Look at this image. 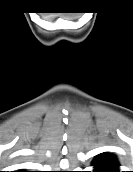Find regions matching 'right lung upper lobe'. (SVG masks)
<instances>
[{
  "mask_svg": "<svg viewBox=\"0 0 133 172\" xmlns=\"http://www.w3.org/2000/svg\"><path fill=\"white\" fill-rule=\"evenodd\" d=\"M15 172H28V171H15Z\"/></svg>",
  "mask_w": 133,
  "mask_h": 172,
  "instance_id": "cb5924a9",
  "label": "right lung upper lobe"
}]
</instances>
